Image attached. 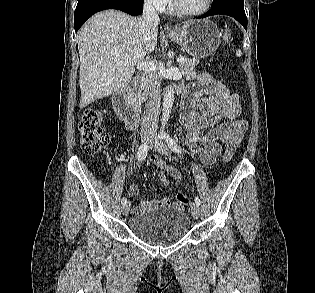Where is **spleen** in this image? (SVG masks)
<instances>
[{
	"mask_svg": "<svg viewBox=\"0 0 315 293\" xmlns=\"http://www.w3.org/2000/svg\"><path fill=\"white\" fill-rule=\"evenodd\" d=\"M236 55H237L238 57H240V56L242 55V51H241L240 49H238V50L236 51Z\"/></svg>",
	"mask_w": 315,
	"mask_h": 293,
	"instance_id": "1",
	"label": "spleen"
}]
</instances>
